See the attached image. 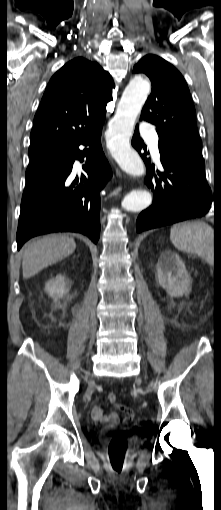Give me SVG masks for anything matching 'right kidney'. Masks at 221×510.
<instances>
[{
    "label": "right kidney",
    "instance_id": "1",
    "mask_svg": "<svg viewBox=\"0 0 221 510\" xmlns=\"http://www.w3.org/2000/svg\"><path fill=\"white\" fill-rule=\"evenodd\" d=\"M46 293L54 300L62 298L67 293L66 279L63 275H57L45 284Z\"/></svg>",
    "mask_w": 221,
    "mask_h": 510
}]
</instances>
